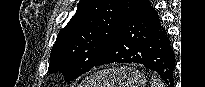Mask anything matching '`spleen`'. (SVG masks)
Instances as JSON below:
<instances>
[{
	"label": "spleen",
	"instance_id": "3e777b00",
	"mask_svg": "<svg viewBox=\"0 0 205 87\" xmlns=\"http://www.w3.org/2000/svg\"><path fill=\"white\" fill-rule=\"evenodd\" d=\"M151 87H164L163 84L154 76L151 78Z\"/></svg>",
	"mask_w": 205,
	"mask_h": 87
}]
</instances>
